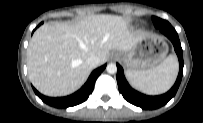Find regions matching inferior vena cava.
Here are the masks:
<instances>
[{"instance_id": "602c4592", "label": "inferior vena cava", "mask_w": 203, "mask_h": 123, "mask_svg": "<svg viewBox=\"0 0 203 123\" xmlns=\"http://www.w3.org/2000/svg\"><path fill=\"white\" fill-rule=\"evenodd\" d=\"M87 64L92 67L95 68L98 66L99 64V58L95 55H90L87 59H86Z\"/></svg>"}]
</instances>
